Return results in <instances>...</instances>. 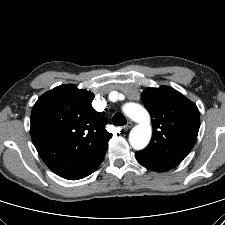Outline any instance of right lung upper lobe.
I'll return each instance as SVG.
<instances>
[{"label": "right lung upper lobe", "instance_id": "1", "mask_svg": "<svg viewBox=\"0 0 225 225\" xmlns=\"http://www.w3.org/2000/svg\"><path fill=\"white\" fill-rule=\"evenodd\" d=\"M94 94L72 84L43 94L31 113V137L55 174L69 180L90 175L101 164L112 134L91 105Z\"/></svg>", "mask_w": 225, "mask_h": 225}]
</instances>
